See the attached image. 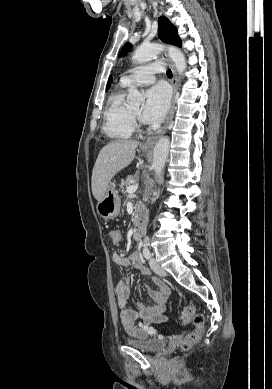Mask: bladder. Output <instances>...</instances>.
I'll use <instances>...</instances> for the list:
<instances>
[{
	"instance_id": "31cf9c89",
	"label": "bladder",
	"mask_w": 272,
	"mask_h": 389,
	"mask_svg": "<svg viewBox=\"0 0 272 389\" xmlns=\"http://www.w3.org/2000/svg\"><path fill=\"white\" fill-rule=\"evenodd\" d=\"M126 342L129 346L146 353H157L165 347L164 341L155 338H147L143 340L127 339Z\"/></svg>"
}]
</instances>
